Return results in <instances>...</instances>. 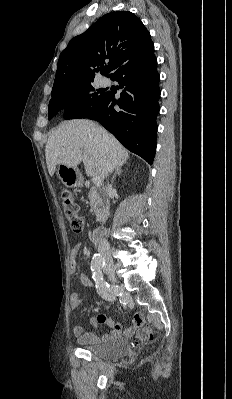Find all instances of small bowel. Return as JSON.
I'll use <instances>...</instances> for the list:
<instances>
[{
  "label": "small bowel",
  "instance_id": "c3829d8e",
  "mask_svg": "<svg viewBox=\"0 0 232 399\" xmlns=\"http://www.w3.org/2000/svg\"><path fill=\"white\" fill-rule=\"evenodd\" d=\"M85 258L86 254L80 250L79 245L72 248L70 251V270H74L77 263H83ZM78 279L80 284L92 288L91 281L84 274H80ZM80 305L81 300L75 293H71L69 297L70 311L76 310ZM88 318L90 323L95 326V329L90 332H84L81 326H75L73 331L78 345H113L121 337L122 333H133L141 329L144 320L142 314H137L130 326L123 327L106 314H89ZM98 323H105L110 332L99 335L96 328Z\"/></svg>",
  "mask_w": 232,
  "mask_h": 399
}]
</instances>
